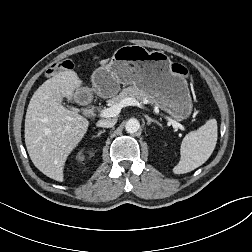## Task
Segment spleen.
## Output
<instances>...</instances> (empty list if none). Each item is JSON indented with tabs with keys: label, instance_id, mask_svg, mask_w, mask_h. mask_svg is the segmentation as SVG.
<instances>
[{
	"label": "spleen",
	"instance_id": "spleen-1",
	"mask_svg": "<svg viewBox=\"0 0 252 252\" xmlns=\"http://www.w3.org/2000/svg\"><path fill=\"white\" fill-rule=\"evenodd\" d=\"M217 137L216 119H210L198 130L188 133L182 140L180 161L173 168V172L188 173L204 164L215 149Z\"/></svg>",
	"mask_w": 252,
	"mask_h": 252
}]
</instances>
